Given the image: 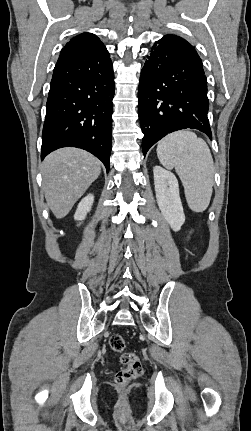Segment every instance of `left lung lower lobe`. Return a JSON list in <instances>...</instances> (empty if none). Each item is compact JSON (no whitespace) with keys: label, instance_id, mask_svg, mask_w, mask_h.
<instances>
[{"label":"left lung lower lobe","instance_id":"obj_1","mask_svg":"<svg viewBox=\"0 0 251 431\" xmlns=\"http://www.w3.org/2000/svg\"><path fill=\"white\" fill-rule=\"evenodd\" d=\"M138 99L144 156L180 129H198L212 138L206 76L199 55L185 39L165 35L154 44L142 68Z\"/></svg>","mask_w":251,"mask_h":431}]
</instances>
